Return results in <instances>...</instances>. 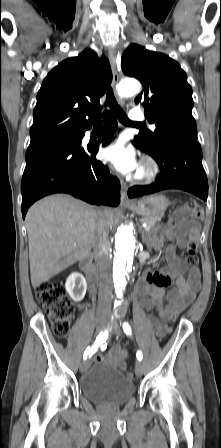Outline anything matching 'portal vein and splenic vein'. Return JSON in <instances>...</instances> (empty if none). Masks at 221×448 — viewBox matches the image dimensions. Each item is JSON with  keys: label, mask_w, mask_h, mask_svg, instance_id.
<instances>
[{"label": "portal vein and splenic vein", "mask_w": 221, "mask_h": 448, "mask_svg": "<svg viewBox=\"0 0 221 448\" xmlns=\"http://www.w3.org/2000/svg\"><path fill=\"white\" fill-rule=\"evenodd\" d=\"M142 227H143L145 230H149V229H150L149 226H148V224H146V223H143V224H142Z\"/></svg>", "instance_id": "obj_1"}]
</instances>
